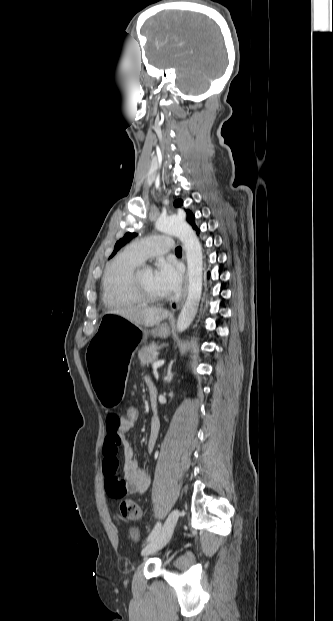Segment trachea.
I'll use <instances>...</instances> for the list:
<instances>
[{"instance_id":"obj_1","label":"trachea","mask_w":333,"mask_h":621,"mask_svg":"<svg viewBox=\"0 0 333 621\" xmlns=\"http://www.w3.org/2000/svg\"><path fill=\"white\" fill-rule=\"evenodd\" d=\"M175 253H181V247L180 246L175 249Z\"/></svg>"}]
</instances>
